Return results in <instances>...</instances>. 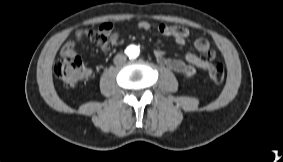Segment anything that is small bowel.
<instances>
[{"label": "small bowel", "instance_id": "1", "mask_svg": "<svg viewBox=\"0 0 283 162\" xmlns=\"http://www.w3.org/2000/svg\"><path fill=\"white\" fill-rule=\"evenodd\" d=\"M141 30L148 31L152 28L149 21L142 20L137 23ZM157 30L160 34L171 37L177 44L183 45L190 36L188 29L180 26L159 24ZM84 38L92 39L103 51H109L113 46L123 43V39L114 31V24L105 22L97 30H79L73 39L69 40L62 48L65 56L76 55L75 47ZM195 49L200 54L186 53L184 60L168 58L161 50H155L154 55L159 64L171 69L186 79H193L199 70H207L212 64L215 53L210 49V43L205 38H197L194 42Z\"/></svg>", "mask_w": 283, "mask_h": 162}]
</instances>
